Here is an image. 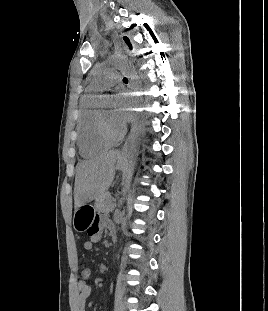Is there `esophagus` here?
<instances>
[{
	"label": "esophagus",
	"instance_id": "esophagus-1",
	"mask_svg": "<svg viewBox=\"0 0 268 311\" xmlns=\"http://www.w3.org/2000/svg\"><path fill=\"white\" fill-rule=\"evenodd\" d=\"M127 143H128V140L125 142L124 146L122 147V150H121V154L123 155L127 149Z\"/></svg>",
	"mask_w": 268,
	"mask_h": 311
}]
</instances>
